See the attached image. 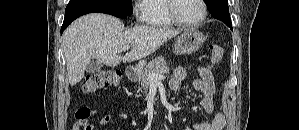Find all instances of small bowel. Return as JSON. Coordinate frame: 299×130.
<instances>
[{"label": "small bowel", "instance_id": "small-bowel-1", "mask_svg": "<svg viewBox=\"0 0 299 130\" xmlns=\"http://www.w3.org/2000/svg\"><path fill=\"white\" fill-rule=\"evenodd\" d=\"M197 77L192 81L191 88L194 91H199L202 93L203 97L201 100V105L205 112L213 113L215 111L214 95H215V83L212 72L204 67L198 66L196 68ZM187 71L183 67H178L175 69L173 76L170 80V87L173 90H178L181 82L186 78ZM98 110L93 109L92 114L96 113ZM112 120L110 114L104 115L100 124L102 126L108 125ZM226 125V118L222 112H217L214 118L209 121H196L193 123V128L195 130H223ZM73 130H78L77 126Z\"/></svg>", "mask_w": 299, "mask_h": 130}]
</instances>
